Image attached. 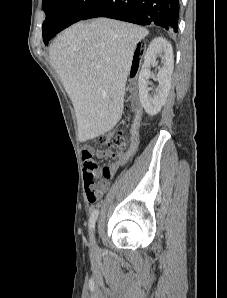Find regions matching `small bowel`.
<instances>
[{"instance_id":"1","label":"small bowel","mask_w":227,"mask_h":298,"mask_svg":"<svg viewBox=\"0 0 227 298\" xmlns=\"http://www.w3.org/2000/svg\"><path fill=\"white\" fill-rule=\"evenodd\" d=\"M140 122V108L136 109V119L132 126V137L136 141L138 138V129ZM81 158L83 160V178L86 191L91 188H96L101 197L109 188V181L111 177L114 176L116 171L126 164L129 156L123 154H116L105 149L98 150L97 146H82ZM106 158L111 157L114 159V162L110 166H105L99 168L94 158ZM96 176H102L104 179L98 183L94 182Z\"/></svg>"}]
</instances>
